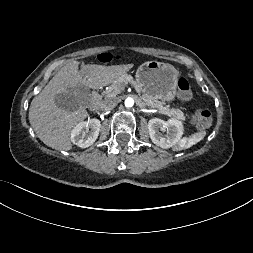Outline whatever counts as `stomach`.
<instances>
[{
    "label": "stomach",
    "mask_w": 253,
    "mask_h": 253,
    "mask_svg": "<svg viewBox=\"0 0 253 253\" xmlns=\"http://www.w3.org/2000/svg\"><path fill=\"white\" fill-rule=\"evenodd\" d=\"M136 83L150 98L170 102L177 94L178 71L168 63L147 61L137 69Z\"/></svg>",
    "instance_id": "stomach-1"
}]
</instances>
